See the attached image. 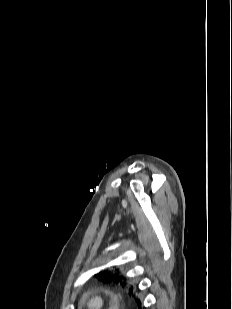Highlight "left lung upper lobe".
<instances>
[{"label": "left lung upper lobe", "mask_w": 232, "mask_h": 309, "mask_svg": "<svg viewBox=\"0 0 232 309\" xmlns=\"http://www.w3.org/2000/svg\"><path fill=\"white\" fill-rule=\"evenodd\" d=\"M94 277H97L99 280H102L105 283H126V277L118 269H104L99 273L95 274ZM130 295H135L133 290H130ZM138 305L141 304L140 301L137 302Z\"/></svg>", "instance_id": "obj_1"}]
</instances>
